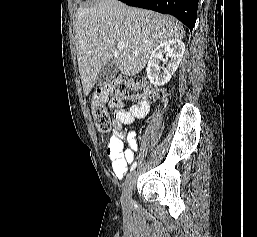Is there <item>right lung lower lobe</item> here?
Instances as JSON below:
<instances>
[{"mask_svg":"<svg viewBox=\"0 0 257 237\" xmlns=\"http://www.w3.org/2000/svg\"><path fill=\"white\" fill-rule=\"evenodd\" d=\"M127 5L154 10L175 16L190 31L193 30L197 17L199 0H120Z\"/></svg>","mask_w":257,"mask_h":237,"instance_id":"obj_1","label":"right lung lower lobe"}]
</instances>
